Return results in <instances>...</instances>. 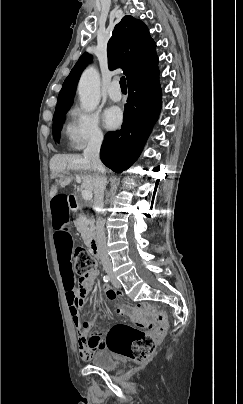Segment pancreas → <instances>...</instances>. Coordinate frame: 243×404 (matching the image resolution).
Here are the masks:
<instances>
[{
    "mask_svg": "<svg viewBox=\"0 0 243 404\" xmlns=\"http://www.w3.org/2000/svg\"><path fill=\"white\" fill-rule=\"evenodd\" d=\"M75 226L82 236L84 244H89L94 236V226L86 222L81 213H76L74 218Z\"/></svg>",
    "mask_w": 243,
    "mask_h": 404,
    "instance_id": "1",
    "label": "pancreas"
}]
</instances>
